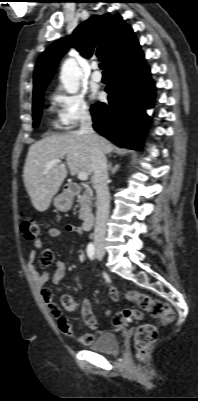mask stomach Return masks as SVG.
<instances>
[{
    "instance_id": "stomach-1",
    "label": "stomach",
    "mask_w": 198,
    "mask_h": 401,
    "mask_svg": "<svg viewBox=\"0 0 198 401\" xmlns=\"http://www.w3.org/2000/svg\"><path fill=\"white\" fill-rule=\"evenodd\" d=\"M53 203L57 210L66 212L71 209L73 200L67 193L63 192L54 198Z\"/></svg>"
}]
</instances>
